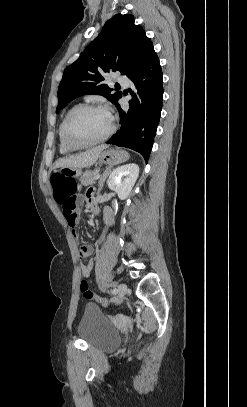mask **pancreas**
<instances>
[{
	"instance_id": "pancreas-1",
	"label": "pancreas",
	"mask_w": 247,
	"mask_h": 407,
	"mask_svg": "<svg viewBox=\"0 0 247 407\" xmlns=\"http://www.w3.org/2000/svg\"><path fill=\"white\" fill-rule=\"evenodd\" d=\"M99 173V169H95L93 171H87L80 177V182L83 186H89L95 183L96 179L95 176Z\"/></svg>"
}]
</instances>
